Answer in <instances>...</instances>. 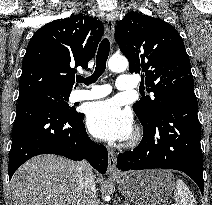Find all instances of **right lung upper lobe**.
Here are the masks:
<instances>
[{"instance_id": "right-lung-upper-lobe-1", "label": "right lung upper lobe", "mask_w": 212, "mask_h": 205, "mask_svg": "<svg viewBox=\"0 0 212 205\" xmlns=\"http://www.w3.org/2000/svg\"><path fill=\"white\" fill-rule=\"evenodd\" d=\"M103 29L100 20L82 14L41 27L30 39L23 58L19 97L43 91L70 93L74 67L87 68Z\"/></svg>"}]
</instances>
